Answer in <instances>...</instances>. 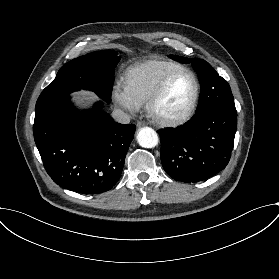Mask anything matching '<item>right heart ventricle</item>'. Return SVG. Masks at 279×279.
Masks as SVG:
<instances>
[{"mask_svg":"<svg viewBox=\"0 0 279 279\" xmlns=\"http://www.w3.org/2000/svg\"><path fill=\"white\" fill-rule=\"evenodd\" d=\"M183 68H186L183 64L168 59L142 61L128 69L125 85L144 101H148L165 76Z\"/></svg>","mask_w":279,"mask_h":279,"instance_id":"1","label":"right heart ventricle"}]
</instances>
